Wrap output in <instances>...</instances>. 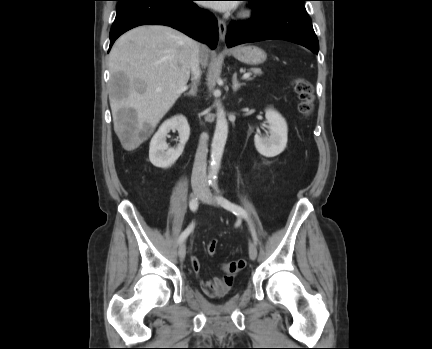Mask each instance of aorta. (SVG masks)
Masks as SVG:
<instances>
[{
	"label": "aorta",
	"instance_id": "762f6f07",
	"mask_svg": "<svg viewBox=\"0 0 432 349\" xmlns=\"http://www.w3.org/2000/svg\"><path fill=\"white\" fill-rule=\"evenodd\" d=\"M219 91H215L218 94ZM217 107L216 114V127L211 145V163L209 170V179L216 180L217 174L220 169L221 159L224 152V147L226 144L228 136V122L225 113L222 109V104L219 100L215 101Z\"/></svg>",
	"mask_w": 432,
	"mask_h": 349
}]
</instances>
